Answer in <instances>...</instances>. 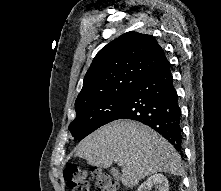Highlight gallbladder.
<instances>
[{"label":"gallbladder","mask_w":221,"mask_h":191,"mask_svg":"<svg viewBox=\"0 0 221 191\" xmlns=\"http://www.w3.org/2000/svg\"><path fill=\"white\" fill-rule=\"evenodd\" d=\"M111 173H112L113 175H117V174H118V171H117L116 169H112V170H111Z\"/></svg>","instance_id":"obj_1"}]
</instances>
